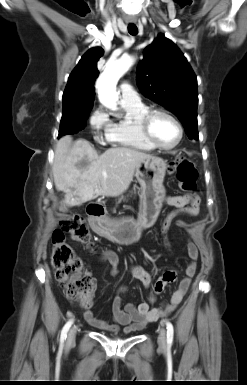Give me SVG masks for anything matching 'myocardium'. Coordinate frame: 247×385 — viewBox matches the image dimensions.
I'll return each mask as SVG.
<instances>
[{"instance_id":"myocardium-1","label":"myocardium","mask_w":247,"mask_h":385,"mask_svg":"<svg viewBox=\"0 0 247 385\" xmlns=\"http://www.w3.org/2000/svg\"><path fill=\"white\" fill-rule=\"evenodd\" d=\"M157 115H163V116H166L168 117L169 119H171L174 124L176 125L177 129H178V132H179V136H178V139L177 141L171 145V146H163L161 144H159L155 138L153 137V134H152V130H151V124H152V121L153 119L157 116ZM139 127H140V130L144 136V138L156 149H160V150H165V151H169V150H173L174 148H176L182 141L183 139V136H184V129H183V126L181 124V122L178 120V118L173 115L172 113H170L169 111L167 110H164V109H149L139 120Z\"/></svg>"}]
</instances>
